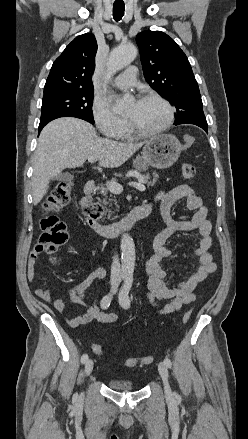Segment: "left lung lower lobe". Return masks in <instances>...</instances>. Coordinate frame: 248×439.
Listing matches in <instances>:
<instances>
[{"mask_svg": "<svg viewBox=\"0 0 248 439\" xmlns=\"http://www.w3.org/2000/svg\"><path fill=\"white\" fill-rule=\"evenodd\" d=\"M190 124L197 125V126L201 127L202 129H204L206 133H208V125H207V123H190Z\"/></svg>", "mask_w": 248, "mask_h": 439, "instance_id": "left-lung-lower-lobe-1", "label": "left lung lower lobe"}]
</instances>
